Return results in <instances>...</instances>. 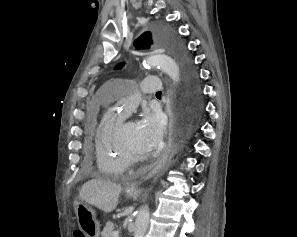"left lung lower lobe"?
<instances>
[{"mask_svg":"<svg viewBox=\"0 0 297 237\" xmlns=\"http://www.w3.org/2000/svg\"><path fill=\"white\" fill-rule=\"evenodd\" d=\"M199 112L200 105H197L190 97L185 96L180 106V113L183 117L184 126L188 128L192 125Z\"/></svg>","mask_w":297,"mask_h":237,"instance_id":"1","label":"left lung lower lobe"}]
</instances>
